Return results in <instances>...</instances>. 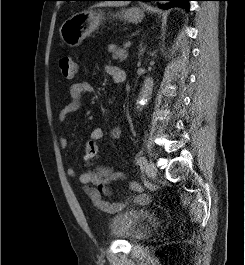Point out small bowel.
I'll list each match as a JSON object with an SVG mask.
<instances>
[{
	"label": "small bowel",
	"instance_id": "1",
	"mask_svg": "<svg viewBox=\"0 0 245 265\" xmlns=\"http://www.w3.org/2000/svg\"><path fill=\"white\" fill-rule=\"evenodd\" d=\"M105 72L112 77L116 83L125 81V72L119 67L107 65ZM94 92L93 86L87 81H78L71 85L70 102L65 105L59 113L58 120L64 123L67 116L81 107L82 98L85 95H90ZM120 134L119 129H115L112 133L113 137L117 138ZM104 136V130L101 127H95L90 133L88 142L97 143ZM60 146L63 149L69 147V141L65 137L59 140ZM66 173L69 177H76L77 170L74 166H68ZM79 182L82 185L83 191L89 196L93 205L99 210L106 213H116L124 209L129 202L139 205H145L150 201V197L144 192L143 186L136 181H129L128 188L135 194L128 200L107 201L102 196H110L112 194L110 185L117 181H125L126 176L114 171L109 166L100 165L92 170L85 171L78 176Z\"/></svg>",
	"mask_w": 245,
	"mask_h": 265
}]
</instances>
